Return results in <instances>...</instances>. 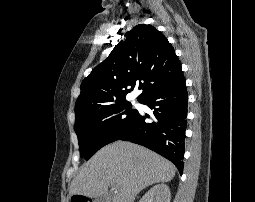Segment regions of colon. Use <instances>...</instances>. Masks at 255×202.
Segmentation results:
<instances>
[{"label": "colon", "mask_w": 255, "mask_h": 202, "mask_svg": "<svg viewBox=\"0 0 255 202\" xmlns=\"http://www.w3.org/2000/svg\"><path fill=\"white\" fill-rule=\"evenodd\" d=\"M71 202H88V199L83 197H74L72 198Z\"/></svg>", "instance_id": "obj_1"}]
</instances>
